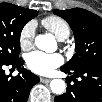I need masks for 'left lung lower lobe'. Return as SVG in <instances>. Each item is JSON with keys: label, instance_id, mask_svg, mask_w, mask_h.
Instances as JSON below:
<instances>
[{"label": "left lung lower lobe", "instance_id": "left-lung-lower-lobe-1", "mask_svg": "<svg viewBox=\"0 0 102 102\" xmlns=\"http://www.w3.org/2000/svg\"><path fill=\"white\" fill-rule=\"evenodd\" d=\"M61 70L72 74L70 84L67 77V91L63 95L55 97V102H101L102 97V66L78 67L73 70ZM76 77H81L78 81Z\"/></svg>", "mask_w": 102, "mask_h": 102}]
</instances>
